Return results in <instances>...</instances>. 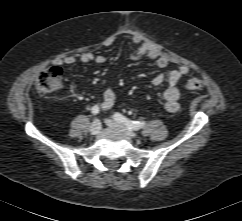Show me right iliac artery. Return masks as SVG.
Segmentation results:
<instances>
[{"label":"right iliac artery","mask_w":242,"mask_h":221,"mask_svg":"<svg viewBox=\"0 0 242 221\" xmlns=\"http://www.w3.org/2000/svg\"><path fill=\"white\" fill-rule=\"evenodd\" d=\"M91 112L93 115H96L99 113V107L97 105L93 106L91 109Z\"/></svg>","instance_id":"82829eb1"}]
</instances>
